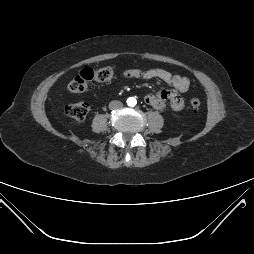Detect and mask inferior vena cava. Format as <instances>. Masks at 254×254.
Wrapping results in <instances>:
<instances>
[{
	"label": "inferior vena cava",
	"mask_w": 254,
	"mask_h": 254,
	"mask_svg": "<svg viewBox=\"0 0 254 254\" xmlns=\"http://www.w3.org/2000/svg\"><path fill=\"white\" fill-rule=\"evenodd\" d=\"M122 107H123V103L121 101H118V100H113L109 103V108L111 110L120 109Z\"/></svg>",
	"instance_id": "obj_1"
}]
</instances>
